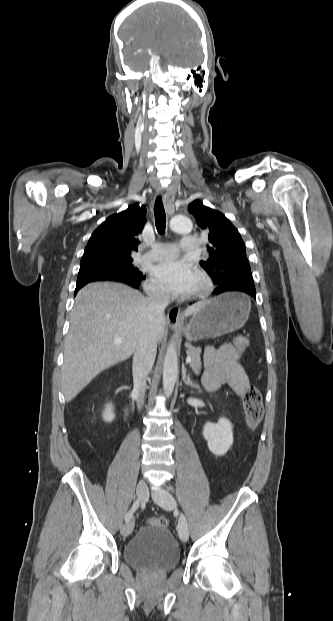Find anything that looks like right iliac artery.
Wrapping results in <instances>:
<instances>
[{
  "label": "right iliac artery",
  "instance_id": "obj_1",
  "mask_svg": "<svg viewBox=\"0 0 333 621\" xmlns=\"http://www.w3.org/2000/svg\"><path fill=\"white\" fill-rule=\"evenodd\" d=\"M139 506H140V501H139V500H136V501L133 503V505H132L131 509L127 512V514H126V516H125V521H126V522H129V521L131 520V518H132V516H133V513H134V512H135V511L139 508Z\"/></svg>",
  "mask_w": 333,
  "mask_h": 621
}]
</instances>
